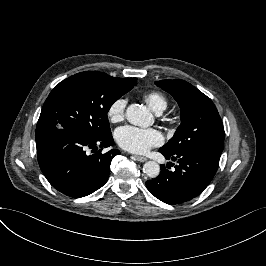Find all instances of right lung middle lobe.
I'll return each mask as SVG.
<instances>
[{
	"mask_svg": "<svg viewBox=\"0 0 266 266\" xmlns=\"http://www.w3.org/2000/svg\"><path fill=\"white\" fill-rule=\"evenodd\" d=\"M136 85V78L111 77L86 71L60 82L46 99L35 139L63 129L90 138L111 133L107 113L112 104Z\"/></svg>",
	"mask_w": 266,
	"mask_h": 266,
	"instance_id": "right-lung-middle-lobe-1",
	"label": "right lung middle lobe"
}]
</instances>
